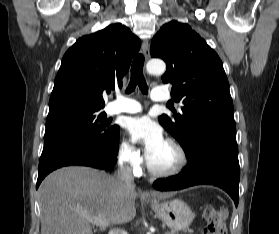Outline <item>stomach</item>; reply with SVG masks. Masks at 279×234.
Wrapping results in <instances>:
<instances>
[{"instance_id":"stomach-1","label":"stomach","mask_w":279,"mask_h":234,"mask_svg":"<svg viewBox=\"0 0 279 234\" xmlns=\"http://www.w3.org/2000/svg\"><path fill=\"white\" fill-rule=\"evenodd\" d=\"M151 207L162 222L175 232L188 228L194 218L189 206L178 199L162 203L152 200Z\"/></svg>"}]
</instances>
